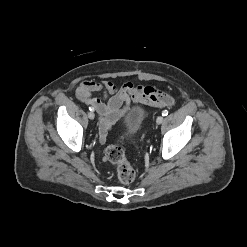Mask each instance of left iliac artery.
<instances>
[{
	"mask_svg": "<svg viewBox=\"0 0 247 247\" xmlns=\"http://www.w3.org/2000/svg\"><path fill=\"white\" fill-rule=\"evenodd\" d=\"M168 115V111L167 110H163L162 111V116H167Z\"/></svg>",
	"mask_w": 247,
	"mask_h": 247,
	"instance_id": "44dca946",
	"label": "left iliac artery"
}]
</instances>
